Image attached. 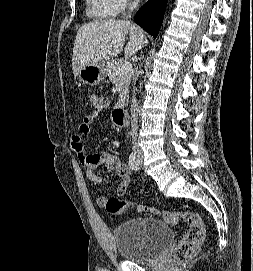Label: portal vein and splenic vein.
<instances>
[{
	"instance_id": "1",
	"label": "portal vein and splenic vein",
	"mask_w": 253,
	"mask_h": 271,
	"mask_svg": "<svg viewBox=\"0 0 253 271\" xmlns=\"http://www.w3.org/2000/svg\"><path fill=\"white\" fill-rule=\"evenodd\" d=\"M132 72V64L130 62H125L119 68V75L123 76Z\"/></svg>"
}]
</instances>
